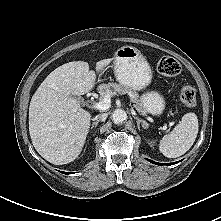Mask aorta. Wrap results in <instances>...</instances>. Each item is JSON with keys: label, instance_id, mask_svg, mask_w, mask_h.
I'll use <instances>...</instances> for the list:
<instances>
[{"label": "aorta", "instance_id": "762f6f07", "mask_svg": "<svg viewBox=\"0 0 221 221\" xmlns=\"http://www.w3.org/2000/svg\"><path fill=\"white\" fill-rule=\"evenodd\" d=\"M126 119H127V114L122 109H116L112 113V120L115 124H120V123L124 122Z\"/></svg>", "mask_w": 221, "mask_h": 221}]
</instances>
